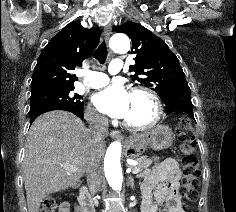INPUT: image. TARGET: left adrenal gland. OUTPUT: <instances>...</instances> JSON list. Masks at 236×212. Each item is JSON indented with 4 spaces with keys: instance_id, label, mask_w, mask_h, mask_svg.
Listing matches in <instances>:
<instances>
[{
    "instance_id": "a2214340",
    "label": "left adrenal gland",
    "mask_w": 236,
    "mask_h": 212,
    "mask_svg": "<svg viewBox=\"0 0 236 212\" xmlns=\"http://www.w3.org/2000/svg\"><path fill=\"white\" fill-rule=\"evenodd\" d=\"M129 185L134 188V179L132 176H129Z\"/></svg>"
}]
</instances>
